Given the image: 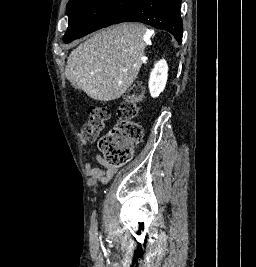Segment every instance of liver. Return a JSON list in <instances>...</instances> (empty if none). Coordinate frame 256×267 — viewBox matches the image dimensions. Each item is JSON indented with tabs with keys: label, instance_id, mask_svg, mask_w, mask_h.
Wrapping results in <instances>:
<instances>
[{
	"label": "liver",
	"instance_id": "liver-1",
	"mask_svg": "<svg viewBox=\"0 0 256 267\" xmlns=\"http://www.w3.org/2000/svg\"><path fill=\"white\" fill-rule=\"evenodd\" d=\"M143 24H117L104 28L71 52L65 76L100 102L120 98L133 84L145 50Z\"/></svg>",
	"mask_w": 256,
	"mask_h": 267
}]
</instances>
